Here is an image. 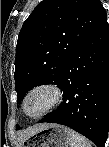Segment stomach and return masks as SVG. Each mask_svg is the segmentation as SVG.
I'll list each match as a JSON object with an SVG mask.
<instances>
[{"mask_svg":"<svg viewBox=\"0 0 109 147\" xmlns=\"http://www.w3.org/2000/svg\"><path fill=\"white\" fill-rule=\"evenodd\" d=\"M71 130L49 124L21 142V147H69Z\"/></svg>","mask_w":109,"mask_h":147,"instance_id":"obj_1","label":"stomach"}]
</instances>
